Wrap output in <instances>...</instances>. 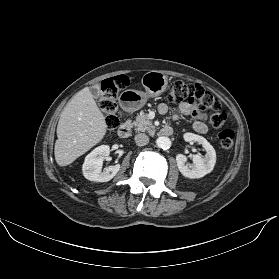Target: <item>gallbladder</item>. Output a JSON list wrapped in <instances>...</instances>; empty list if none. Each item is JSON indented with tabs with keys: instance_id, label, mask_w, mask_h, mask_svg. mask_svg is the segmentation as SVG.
Wrapping results in <instances>:
<instances>
[{
	"instance_id": "gallbladder-1",
	"label": "gallbladder",
	"mask_w": 279,
	"mask_h": 279,
	"mask_svg": "<svg viewBox=\"0 0 279 279\" xmlns=\"http://www.w3.org/2000/svg\"><path fill=\"white\" fill-rule=\"evenodd\" d=\"M91 93H92V95L94 96L95 99H100L101 98L102 93H101V90H100L98 85H94V86L91 87Z\"/></svg>"
}]
</instances>
